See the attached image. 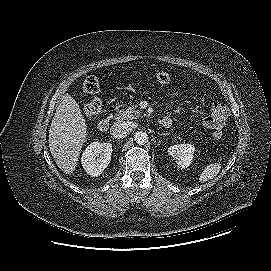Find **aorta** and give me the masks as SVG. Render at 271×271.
<instances>
[{"instance_id": "aorta-1", "label": "aorta", "mask_w": 271, "mask_h": 271, "mask_svg": "<svg viewBox=\"0 0 271 271\" xmlns=\"http://www.w3.org/2000/svg\"><path fill=\"white\" fill-rule=\"evenodd\" d=\"M135 142L139 145H145L148 142V134L144 131H138L134 134Z\"/></svg>"}]
</instances>
